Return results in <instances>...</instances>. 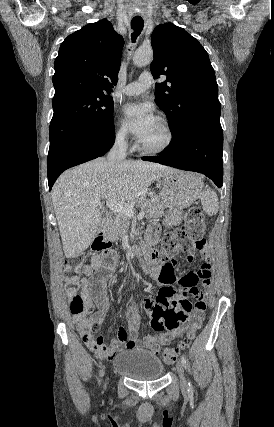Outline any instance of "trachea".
Instances as JSON below:
<instances>
[{
	"mask_svg": "<svg viewBox=\"0 0 274 427\" xmlns=\"http://www.w3.org/2000/svg\"><path fill=\"white\" fill-rule=\"evenodd\" d=\"M144 27V20L141 17H134L131 20V28L133 29L132 33V42H135L136 38L140 35Z\"/></svg>",
	"mask_w": 274,
	"mask_h": 427,
	"instance_id": "3493384b",
	"label": "trachea"
}]
</instances>
